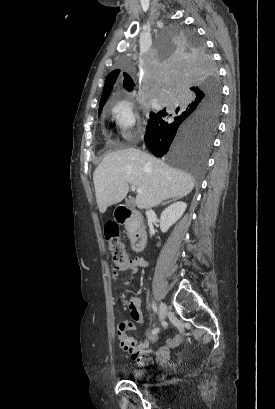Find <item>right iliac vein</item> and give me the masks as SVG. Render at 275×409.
Here are the masks:
<instances>
[{
  "label": "right iliac vein",
  "mask_w": 275,
  "mask_h": 409,
  "mask_svg": "<svg viewBox=\"0 0 275 409\" xmlns=\"http://www.w3.org/2000/svg\"><path fill=\"white\" fill-rule=\"evenodd\" d=\"M167 311H168V308H167L166 304L161 303L160 306H159V312H158V316H159L160 321H163L165 319Z\"/></svg>",
  "instance_id": "1"
}]
</instances>
